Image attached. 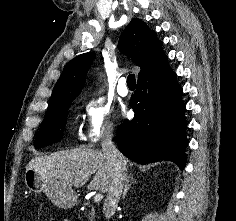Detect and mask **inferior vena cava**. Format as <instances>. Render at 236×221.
<instances>
[{
    "label": "inferior vena cava",
    "instance_id": "1",
    "mask_svg": "<svg viewBox=\"0 0 236 221\" xmlns=\"http://www.w3.org/2000/svg\"><path fill=\"white\" fill-rule=\"evenodd\" d=\"M112 138V130H106L101 141L102 152L111 167V181L103 205V213L105 218L108 220L116 210L122 193L127 170L126 160L121 152L115 147Z\"/></svg>",
    "mask_w": 236,
    "mask_h": 221
}]
</instances>
